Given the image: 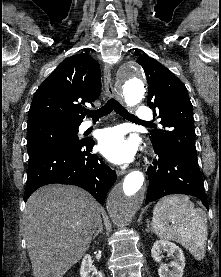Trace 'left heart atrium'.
Returning a JSON list of instances; mask_svg holds the SVG:
<instances>
[{
	"mask_svg": "<svg viewBox=\"0 0 221 277\" xmlns=\"http://www.w3.org/2000/svg\"><path fill=\"white\" fill-rule=\"evenodd\" d=\"M98 145L101 153L115 164L130 162L137 152L136 140L127 138L121 127L102 130L98 136Z\"/></svg>",
	"mask_w": 221,
	"mask_h": 277,
	"instance_id": "39dd6f15",
	"label": "left heart atrium"
}]
</instances>
